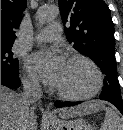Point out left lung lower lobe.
Returning a JSON list of instances; mask_svg holds the SVG:
<instances>
[{"label": "left lung lower lobe", "instance_id": "obj_1", "mask_svg": "<svg viewBox=\"0 0 123 130\" xmlns=\"http://www.w3.org/2000/svg\"><path fill=\"white\" fill-rule=\"evenodd\" d=\"M101 99V98H100ZM102 100V99H101ZM77 104H80V102H60V101H57L55 102V106L57 108H61V107H65V106H74V105H77ZM118 110L123 114V107H118Z\"/></svg>", "mask_w": 123, "mask_h": 130}]
</instances>
